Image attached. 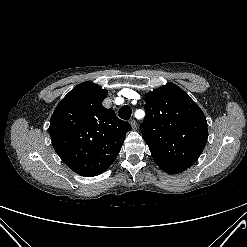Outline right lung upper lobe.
I'll return each mask as SVG.
<instances>
[{
    "label": "right lung upper lobe",
    "mask_w": 247,
    "mask_h": 247,
    "mask_svg": "<svg viewBox=\"0 0 247 247\" xmlns=\"http://www.w3.org/2000/svg\"><path fill=\"white\" fill-rule=\"evenodd\" d=\"M107 91L92 82L75 86L50 120L52 145L62 161L81 176L103 173L116 159L129 123L102 102Z\"/></svg>",
    "instance_id": "right-lung-upper-lobe-1"
}]
</instances>
